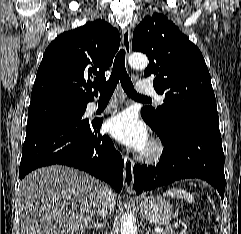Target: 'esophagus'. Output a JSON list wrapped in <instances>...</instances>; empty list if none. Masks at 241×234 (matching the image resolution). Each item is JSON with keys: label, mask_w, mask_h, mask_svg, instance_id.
Wrapping results in <instances>:
<instances>
[{"label": "esophagus", "mask_w": 241, "mask_h": 234, "mask_svg": "<svg viewBox=\"0 0 241 234\" xmlns=\"http://www.w3.org/2000/svg\"><path fill=\"white\" fill-rule=\"evenodd\" d=\"M123 48L126 55L128 56L131 53V32L129 28H124L121 34ZM124 186L127 193H133V182H134V173H133V164L129 162L127 158L124 159Z\"/></svg>", "instance_id": "obj_1"}]
</instances>
